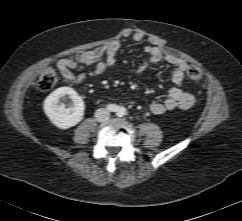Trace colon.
Segmentation results:
<instances>
[{"label": "colon", "instance_id": "1", "mask_svg": "<svg viewBox=\"0 0 242 221\" xmlns=\"http://www.w3.org/2000/svg\"><path fill=\"white\" fill-rule=\"evenodd\" d=\"M188 77L195 82L203 79L201 69L196 65H189L187 68ZM59 80L58 70L54 67L44 69L38 78V87L41 91H49L57 84Z\"/></svg>", "mask_w": 242, "mask_h": 221}]
</instances>
